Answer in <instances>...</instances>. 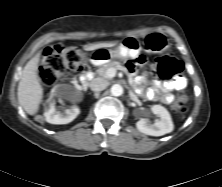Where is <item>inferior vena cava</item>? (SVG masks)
Masks as SVG:
<instances>
[{"label": "inferior vena cava", "mask_w": 222, "mask_h": 187, "mask_svg": "<svg viewBox=\"0 0 222 187\" xmlns=\"http://www.w3.org/2000/svg\"><path fill=\"white\" fill-rule=\"evenodd\" d=\"M108 83L103 78H95L90 83L92 91L99 92L107 87Z\"/></svg>", "instance_id": "inferior-vena-cava-1"}]
</instances>
